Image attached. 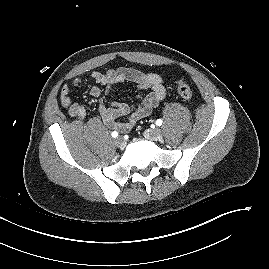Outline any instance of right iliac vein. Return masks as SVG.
Wrapping results in <instances>:
<instances>
[{"instance_id":"obj_1","label":"right iliac vein","mask_w":269,"mask_h":269,"mask_svg":"<svg viewBox=\"0 0 269 269\" xmlns=\"http://www.w3.org/2000/svg\"><path fill=\"white\" fill-rule=\"evenodd\" d=\"M116 146H118L119 148L123 149L126 146V142L124 141V139L122 137H117L114 140Z\"/></svg>"}]
</instances>
